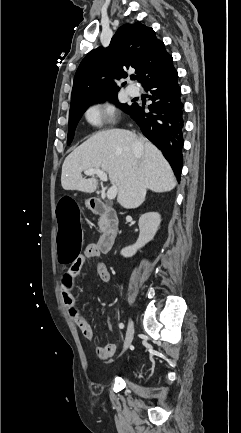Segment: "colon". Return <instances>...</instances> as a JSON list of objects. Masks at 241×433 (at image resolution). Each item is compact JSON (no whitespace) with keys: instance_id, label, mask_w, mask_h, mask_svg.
<instances>
[{"instance_id":"1","label":"colon","mask_w":241,"mask_h":433,"mask_svg":"<svg viewBox=\"0 0 241 433\" xmlns=\"http://www.w3.org/2000/svg\"><path fill=\"white\" fill-rule=\"evenodd\" d=\"M55 220L59 221L57 227L58 247V265H73L79 256V247H83V231L81 230L80 206L75 205L74 197L67 193L65 197L58 198L57 212ZM64 288L67 292L75 291L73 283L74 272H65Z\"/></svg>"}]
</instances>
